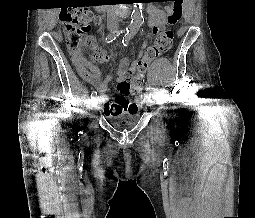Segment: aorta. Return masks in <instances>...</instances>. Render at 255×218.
I'll return each mask as SVG.
<instances>
[{
  "mask_svg": "<svg viewBox=\"0 0 255 218\" xmlns=\"http://www.w3.org/2000/svg\"><path fill=\"white\" fill-rule=\"evenodd\" d=\"M131 17L132 21L129 25V30L137 31L143 22L141 3H134V9Z\"/></svg>",
  "mask_w": 255,
  "mask_h": 218,
  "instance_id": "obj_1",
  "label": "aorta"
}]
</instances>
